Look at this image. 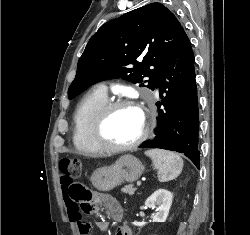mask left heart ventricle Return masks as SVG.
<instances>
[{
	"mask_svg": "<svg viewBox=\"0 0 250 235\" xmlns=\"http://www.w3.org/2000/svg\"><path fill=\"white\" fill-rule=\"evenodd\" d=\"M142 112L135 108H119L108 118L104 135L113 144H127L140 134L143 127Z\"/></svg>",
	"mask_w": 250,
	"mask_h": 235,
	"instance_id": "1",
	"label": "left heart ventricle"
}]
</instances>
